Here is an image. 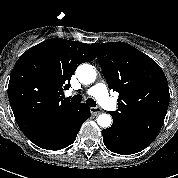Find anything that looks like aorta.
Instances as JSON below:
<instances>
[{"mask_svg":"<svg viewBox=\"0 0 178 178\" xmlns=\"http://www.w3.org/2000/svg\"><path fill=\"white\" fill-rule=\"evenodd\" d=\"M78 80L83 84H91L96 79V70L89 64H81L76 70ZM97 123L102 128H108L112 124V117L109 114H101L97 118Z\"/></svg>","mask_w":178,"mask_h":178,"instance_id":"obj_1","label":"aorta"}]
</instances>
